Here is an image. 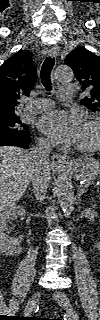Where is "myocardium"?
I'll return each instance as SVG.
<instances>
[{"label": "myocardium", "mask_w": 100, "mask_h": 320, "mask_svg": "<svg viewBox=\"0 0 100 320\" xmlns=\"http://www.w3.org/2000/svg\"><path fill=\"white\" fill-rule=\"evenodd\" d=\"M84 123L93 129L94 139L87 145L76 146V150L84 153L93 152L100 146V124L96 118H87L84 120Z\"/></svg>", "instance_id": "f54148a6"}]
</instances>
